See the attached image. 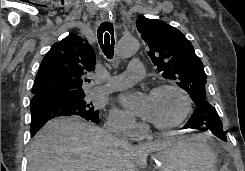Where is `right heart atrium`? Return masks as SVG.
Instances as JSON below:
<instances>
[{"instance_id": "right-heart-atrium-1", "label": "right heart atrium", "mask_w": 245, "mask_h": 171, "mask_svg": "<svg viewBox=\"0 0 245 171\" xmlns=\"http://www.w3.org/2000/svg\"><path fill=\"white\" fill-rule=\"evenodd\" d=\"M108 125L111 129L128 136H135L140 125L127 113L114 109L111 111Z\"/></svg>"}]
</instances>
